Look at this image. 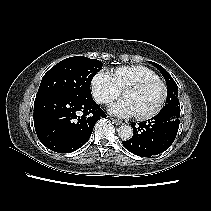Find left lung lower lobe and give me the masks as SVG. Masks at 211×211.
Wrapping results in <instances>:
<instances>
[{
  "instance_id": "1",
  "label": "left lung lower lobe",
  "mask_w": 211,
  "mask_h": 211,
  "mask_svg": "<svg viewBox=\"0 0 211 211\" xmlns=\"http://www.w3.org/2000/svg\"><path fill=\"white\" fill-rule=\"evenodd\" d=\"M179 116L170 112H159L146 122L131 124L134 134L123 141V146L131 153L150 157L167 150L173 143L179 128Z\"/></svg>"
}]
</instances>
